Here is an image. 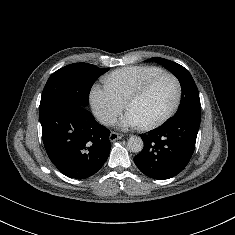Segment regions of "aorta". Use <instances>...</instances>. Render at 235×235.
Here are the masks:
<instances>
[{
	"mask_svg": "<svg viewBox=\"0 0 235 235\" xmlns=\"http://www.w3.org/2000/svg\"><path fill=\"white\" fill-rule=\"evenodd\" d=\"M128 148L133 153H139L143 149V140L138 136H131L127 142Z\"/></svg>",
	"mask_w": 235,
	"mask_h": 235,
	"instance_id": "aorta-1",
	"label": "aorta"
}]
</instances>
